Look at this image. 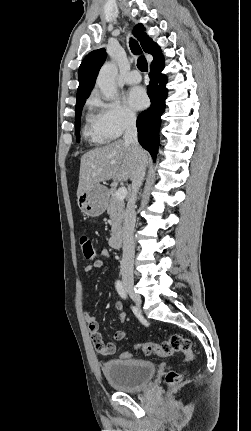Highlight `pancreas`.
I'll list each match as a JSON object with an SVG mask.
<instances>
[{
	"instance_id": "1",
	"label": "pancreas",
	"mask_w": 251,
	"mask_h": 431,
	"mask_svg": "<svg viewBox=\"0 0 251 431\" xmlns=\"http://www.w3.org/2000/svg\"><path fill=\"white\" fill-rule=\"evenodd\" d=\"M116 189L112 188L108 192L109 204L107 206V213L111 219L112 234H120L122 231V222L125 215L124 201L116 199Z\"/></svg>"
}]
</instances>
